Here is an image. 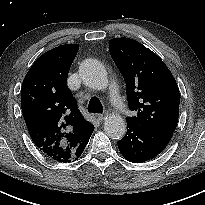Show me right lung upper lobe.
<instances>
[{
  "instance_id": "right-lung-upper-lobe-1",
  "label": "right lung upper lobe",
  "mask_w": 205,
  "mask_h": 205,
  "mask_svg": "<svg viewBox=\"0 0 205 205\" xmlns=\"http://www.w3.org/2000/svg\"><path fill=\"white\" fill-rule=\"evenodd\" d=\"M78 49V44H66L41 55L21 89L22 112L33 142L46 156L63 163L74 160L75 150L94 130L66 84Z\"/></svg>"
}]
</instances>
